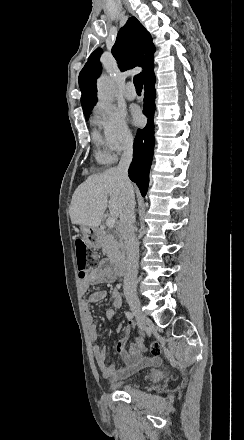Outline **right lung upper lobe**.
Segmentation results:
<instances>
[{"label":"right lung upper lobe","mask_w":244,"mask_h":440,"mask_svg":"<svg viewBox=\"0 0 244 440\" xmlns=\"http://www.w3.org/2000/svg\"><path fill=\"white\" fill-rule=\"evenodd\" d=\"M101 49H96L79 74V86L82 92L81 104L83 112H90L97 102L96 80L101 73L99 61ZM154 45L150 33L135 18L128 19L118 32L112 54L122 71L136 66L143 67L140 76L143 78L154 68Z\"/></svg>","instance_id":"right-lung-upper-lobe-1"}]
</instances>
